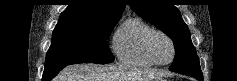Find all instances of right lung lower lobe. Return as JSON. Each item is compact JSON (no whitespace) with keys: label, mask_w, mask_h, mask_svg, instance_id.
Listing matches in <instances>:
<instances>
[{"label":"right lung lower lobe","mask_w":237,"mask_h":81,"mask_svg":"<svg viewBox=\"0 0 237 81\" xmlns=\"http://www.w3.org/2000/svg\"><path fill=\"white\" fill-rule=\"evenodd\" d=\"M67 65L54 66L50 68H45L42 81H51L64 67Z\"/></svg>","instance_id":"right-lung-lower-lobe-1"}]
</instances>
